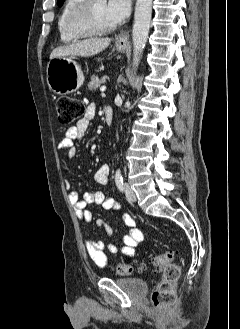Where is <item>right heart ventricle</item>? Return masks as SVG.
I'll return each instance as SVG.
<instances>
[{
    "mask_svg": "<svg viewBox=\"0 0 240 329\" xmlns=\"http://www.w3.org/2000/svg\"><path fill=\"white\" fill-rule=\"evenodd\" d=\"M80 2V0H65L57 20V27L60 35V39L63 42L70 43L78 40L82 37H77L70 33L67 28V18L71 10Z\"/></svg>",
    "mask_w": 240,
    "mask_h": 329,
    "instance_id": "right-heart-ventricle-1",
    "label": "right heart ventricle"
}]
</instances>
